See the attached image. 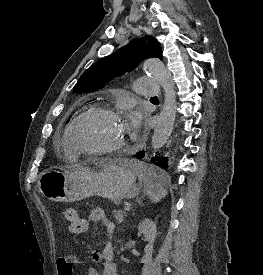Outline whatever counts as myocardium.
<instances>
[{
    "label": "myocardium",
    "instance_id": "obj_1",
    "mask_svg": "<svg viewBox=\"0 0 263 275\" xmlns=\"http://www.w3.org/2000/svg\"><path fill=\"white\" fill-rule=\"evenodd\" d=\"M98 114L109 115L123 122L120 113L114 108L106 105L92 106L87 110H85L84 112H82L74 120L68 135V141L76 154L89 155V156L112 155V154L122 152L128 147L131 137L133 136L132 133H131L130 139H124L117 145L109 148H105V149H90L79 145V143L77 142L76 136L80 125L88 118Z\"/></svg>",
    "mask_w": 263,
    "mask_h": 275
}]
</instances>
